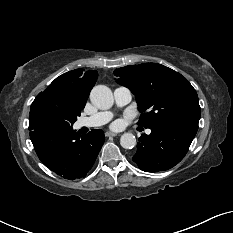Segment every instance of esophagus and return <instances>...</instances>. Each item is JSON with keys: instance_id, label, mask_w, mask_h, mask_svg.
<instances>
[{"instance_id": "obj_1", "label": "esophagus", "mask_w": 233, "mask_h": 233, "mask_svg": "<svg viewBox=\"0 0 233 233\" xmlns=\"http://www.w3.org/2000/svg\"><path fill=\"white\" fill-rule=\"evenodd\" d=\"M105 135H106V137H116L117 133L108 131V132L105 133Z\"/></svg>"}]
</instances>
